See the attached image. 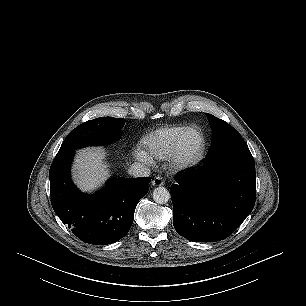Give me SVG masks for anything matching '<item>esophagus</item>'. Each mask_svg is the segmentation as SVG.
Returning <instances> with one entry per match:
<instances>
[{"label": "esophagus", "instance_id": "1", "mask_svg": "<svg viewBox=\"0 0 306 306\" xmlns=\"http://www.w3.org/2000/svg\"><path fill=\"white\" fill-rule=\"evenodd\" d=\"M152 185L153 186H162V185H164V180L162 179L161 176H157L153 179Z\"/></svg>", "mask_w": 306, "mask_h": 306}]
</instances>
